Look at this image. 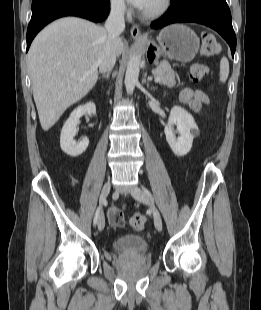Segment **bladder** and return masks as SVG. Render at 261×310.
Instances as JSON below:
<instances>
[{
	"mask_svg": "<svg viewBox=\"0 0 261 310\" xmlns=\"http://www.w3.org/2000/svg\"><path fill=\"white\" fill-rule=\"evenodd\" d=\"M112 249L120 255H143L150 249L148 241L137 234H127L114 241Z\"/></svg>",
	"mask_w": 261,
	"mask_h": 310,
	"instance_id": "1",
	"label": "bladder"
}]
</instances>
